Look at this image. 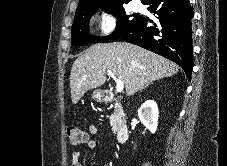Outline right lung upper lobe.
I'll list each match as a JSON object with an SVG mask.
<instances>
[{
    "instance_id": "right-lung-upper-lobe-1",
    "label": "right lung upper lobe",
    "mask_w": 227,
    "mask_h": 166,
    "mask_svg": "<svg viewBox=\"0 0 227 166\" xmlns=\"http://www.w3.org/2000/svg\"><path fill=\"white\" fill-rule=\"evenodd\" d=\"M131 0H79L78 8L76 12L86 11L97 8H112L117 6H123V4H127ZM148 0H142L144 4Z\"/></svg>"
}]
</instances>
